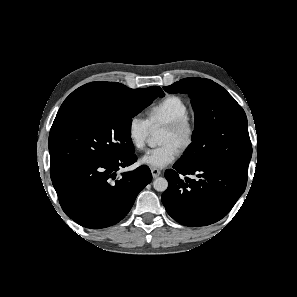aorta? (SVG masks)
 I'll list each match as a JSON object with an SVG mask.
<instances>
[{"label": "aorta", "mask_w": 297, "mask_h": 297, "mask_svg": "<svg viewBox=\"0 0 297 297\" xmlns=\"http://www.w3.org/2000/svg\"><path fill=\"white\" fill-rule=\"evenodd\" d=\"M150 143L153 144L154 143V138H152L150 140ZM153 187L155 190L159 191V192H164L167 187H168V182L165 178L163 177H158L154 180L153 182Z\"/></svg>", "instance_id": "762f6f07"}]
</instances>
